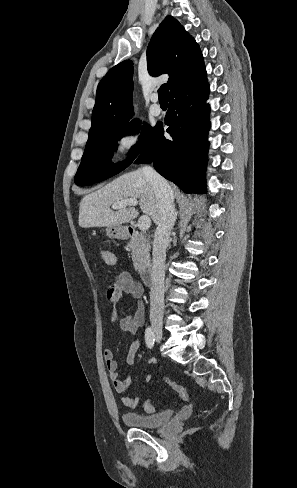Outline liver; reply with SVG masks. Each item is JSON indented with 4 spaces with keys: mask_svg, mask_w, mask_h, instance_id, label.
Masks as SVG:
<instances>
[{
    "mask_svg": "<svg viewBox=\"0 0 297 488\" xmlns=\"http://www.w3.org/2000/svg\"><path fill=\"white\" fill-rule=\"evenodd\" d=\"M139 199L140 209L154 223L160 221L161 206L153 185L142 170L125 173L106 186L83 197L79 207V226L82 228L120 226L138 216L134 207L112 211V204Z\"/></svg>",
    "mask_w": 297,
    "mask_h": 488,
    "instance_id": "liver-1",
    "label": "liver"
}]
</instances>
